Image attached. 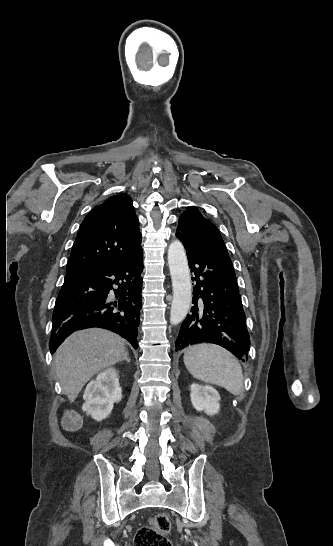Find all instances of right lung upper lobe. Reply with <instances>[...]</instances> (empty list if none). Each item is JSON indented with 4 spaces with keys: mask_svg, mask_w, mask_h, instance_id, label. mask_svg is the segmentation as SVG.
Returning <instances> with one entry per match:
<instances>
[{
    "mask_svg": "<svg viewBox=\"0 0 333 546\" xmlns=\"http://www.w3.org/2000/svg\"><path fill=\"white\" fill-rule=\"evenodd\" d=\"M139 221L132 199L118 194L93 208L80 225L67 273L122 262L141 249Z\"/></svg>",
    "mask_w": 333,
    "mask_h": 546,
    "instance_id": "obj_1",
    "label": "right lung upper lobe"
}]
</instances>
